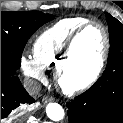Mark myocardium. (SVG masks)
Masks as SVG:
<instances>
[{
	"instance_id": "1",
	"label": "myocardium",
	"mask_w": 123,
	"mask_h": 123,
	"mask_svg": "<svg viewBox=\"0 0 123 123\" xmlns=\"http://www.w3.org/2000/svg\"><path fill=\"white\" fill-rule=\"evenodd\" d=\"M93 25L98 26L103 34L104 45H103L102 53L98 59V62L94 71L89 77L81 81H73L70 79L68 75V70L72 60L75 44L78 38L89 27ZM109 49H110L109 34L106 27L102 23L98 21H94V20H89L88 22L83 24L81 27H79L68 40L63 58L61 62L59 63V65L57 66V68L55 69V80L59 88L67 94H76L90 88L93 84L97 82V80L100 78L102 74V71L105 67V63L108 58Z\"/></svg>"
}]
</instances>
